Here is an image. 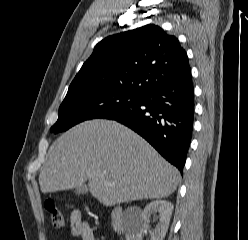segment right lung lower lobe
<instances>
[{
    "instance_id": "1",
    "label": "right lung lower lobe",
    "mask_w": 248,
    "mask_h": 240,
    "mask_svg": "<svg viewBox=\"0 0 248 240\" xmlns=\"http://www.w3.org/2000/svg\"><path fill=\"white\" fill-rule=\"evenodd\" d=\"M106 119L116 120L137 132L182 172L194 120L191 72L151 89L137 104Z\"/></svg>"
}]
</instances>
